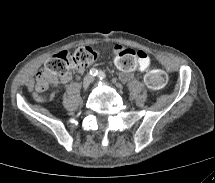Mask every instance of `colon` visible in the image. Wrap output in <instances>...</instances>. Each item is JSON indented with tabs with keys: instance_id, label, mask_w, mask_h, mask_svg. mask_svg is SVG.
I'll return each mask as SVG.
<instances>
[{
	"instance_id": "obj_1",
	"label": "colon",
	"mask_w": 215,
	"mask_h": 183,
	"mask_svg": "<svg viewBox=\"0 0 215 183\" xmlns=\"http://www.w3.org/2000/svg\"><path fill=\"white\" fill-rule=\"evenodd\" d=\"M98 57V53L89 47H81L74 52H59L46 62L43 79H59L70 70H83L93 64ZM166 81L167 76L160 69L150 70L145 75V82L152 89L162 88Z\"/></svg>"
}]
</instances>
